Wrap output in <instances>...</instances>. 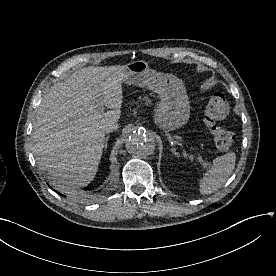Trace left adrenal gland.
Here are the masks:
<instances>
[{
    "instance_id": "obj_1",
    "label": "left adrenal gland",
    "mask_w": 276,
    "mask_h": 276,
    "mask_svg": "<svg viewBox=\"0 0 276 276\" xmlns=\"http://www.w3.org/2000/svg\"><path fill=\"white\" fill-rule=\"evenodd\" d=\"M171 150H172V152H174V154H175L176 156L179 155V154L176 152V149H175V148H172Z\"/></svg>"
}]
</instances>
